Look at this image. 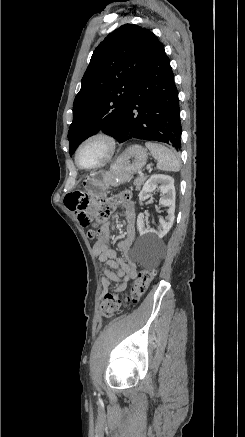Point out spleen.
Returning <instances> with one entry per match:
<instances>
[{
    "mask_svg": "<svg viewBox=\"0 0 245 437\" xmlns=\"http://www.w3.org/2000/svg\"><path fill=\"white\" fill-rule=\"evenodd\" d=\"M145 146L157 160V169L174 172L180 170V159L175 152L156 142L148 141Z\"/></svg>",
    "mask_w": 245,
    "mask_h": 437,
    "instance_id": "spleen-1",
    "label": "spleen"
}]
</instances>
